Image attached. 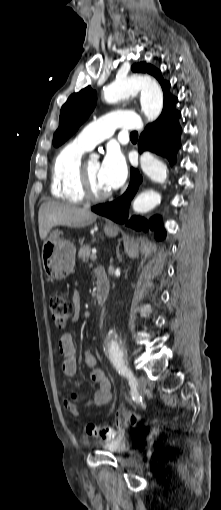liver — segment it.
Instances as JSON below:
<instances>
[{
	"mask_svg": "<svg viewBox=\"0 0 221 510\" xmlns=\"http://www.w3.org/2000/svg\"><path fill=\"white\" fill-rule=\"evenodd\" d=\"M97 215L87 208L50 201L40 206L38 213L39 235L44 240L50 230L58 225L80 228L93 223Z\"/></svg>",
	"mask_w": 221,
	"mask_h": 510,
	"instance_id": "6515ba94",
	"label": "liver"
}]
</instances>
